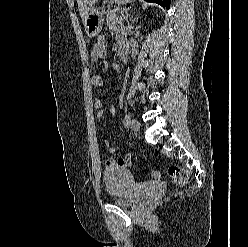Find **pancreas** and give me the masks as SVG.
<instances>
[{"label":"pancreas","mask_w":248,"mask_h":247,"mask_svg":"<svg viewBox=\"0 0 248 247\" xmlns=\"http://www.w3.org/2000/svg\"><path fill=\"white\" fill-rule=\"evenodd\" d=\"M121 12L122 9L120 8H116L107 12L106 14L107 27H109L110 29H116L118 25L122 24L124 16L118 15Z\"/></svg>","instance_id":"pancreas-1"}]
</instances>
